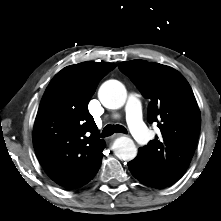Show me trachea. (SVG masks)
<instances>
[{
    "instance_id": "obj_1",
    "label": "trachea",
    "mask_w": 221,
    "mask_h": 221,
    "mask_svg": "<svg viewBox=\"0 0 221 221\" xmlns=\"http://www.w3.org/2000/svg\"><path fill=\"white\" fill-rule=\"evenodd\" d=\"M114 133H127V130L122 125H106L102 131L101 137H108Z\"/></svg>"
}]
</instances>
